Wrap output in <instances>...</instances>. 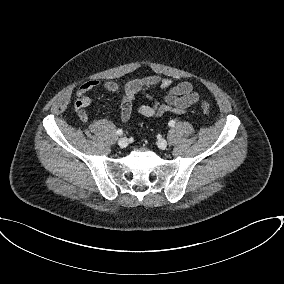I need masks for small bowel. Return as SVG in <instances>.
<instances>
[{"mask_svg": "<svg viewBox=\"0 0 284 284\" xmlns=\"http://www.w3.org/2000/svg\"><path fill=\"white\" fill-rule=\"evenodd\" d=\"M97 88L117 94L121 99L120 121L127 122L133 112L143 117H161L165 114H184L189 108L197 103L200 99L199 93L193 88L188 81L178 84L173 83L170 78H162L157 75L135 78L125 83L114 81L100 82L90 80L80 85L76 91V100L74 110L80 121H88L87 109L91 104L89 93ZM165 90L164 102L158 101L152 94V90ZM139 92H142L150 104L141 105L135 111L133 101Z\"/></svg>", "mask_w": 284, "mask_h": 284, "instance_id": "obj_1", "label": "small bowel"}]
</instances>
